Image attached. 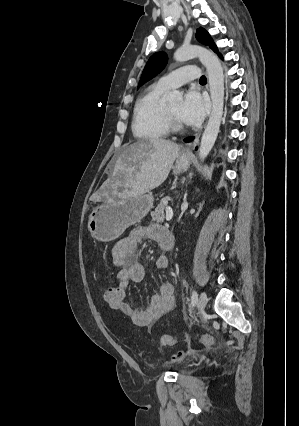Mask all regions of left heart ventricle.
Returning a JSON list of instances; mask_svg holds the SVG:
<instances>
[{
	"label": "left heart ventricle",
	"mask_w": 299,
	"mask_h": 426,
	"mask_svg": "<svg viewBox=\"0 0 299 426\" xmlns=\"http://www.w3.org/2000/svg\"><path fill=\"white\" fill-rule=\"evenodd\" d=\"M169 106H170V109H171L172 113L174 114L175 118L178 121H181L179 113H180L182 103L181 102H173V103H170Z\"/></svg>",
	"instance_id": "1"
}]
</instances>
